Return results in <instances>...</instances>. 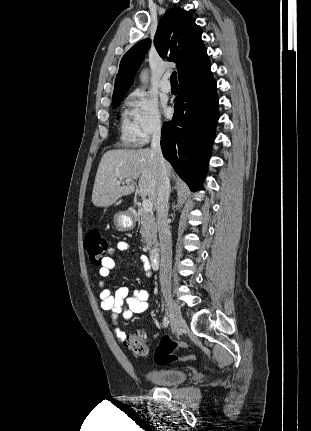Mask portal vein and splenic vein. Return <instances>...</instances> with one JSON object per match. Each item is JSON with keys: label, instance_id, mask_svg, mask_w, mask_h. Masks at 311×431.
Masks as SVG:
<instances>
[{"label": "portal vein and splenic vein", "instance_id": "18ae733b", "mask_svg": "<svg viewBox=\"0 0 311 431\" xmlns=\"http://www.w3.org/2000/svg\"><path fill=\"white\" fill-rule=\"evenodd\" d=\"M131 180H118L116 184L118 186H121V184H130ZM142 208L144 212H152L153 210V204L150 202V200H142Z\"/></svg>", "mask_w": 311, "mask_h": 431}]
</instances>
